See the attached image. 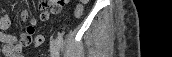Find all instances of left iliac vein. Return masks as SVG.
Instances as JSON below:
<instances>
[{"instance_id": "4c4485c4", "label": "left iliac vein", "mask_w": 172, "mask_h": 57, "mask_svg": "<svg viewBox=\"0 0 172 57\" xmlns=\"http://www.w3.org/2000/svg\"><path fill=\"white\" fill-rule=\"evenodd\" d=\"M50 52L52 57H59V43L54 38L50 41Z\"/></svg>"}]
</instances>
